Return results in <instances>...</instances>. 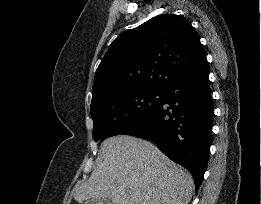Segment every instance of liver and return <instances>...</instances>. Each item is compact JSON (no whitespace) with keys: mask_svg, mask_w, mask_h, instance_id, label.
Returning a JSON list of instances; mask_svg holds the SVG:
<instances>
[{"mask_svg":"<svg viewBox=\"0 0 261 204\" xmlns=\"http://www.w3.org/2000/svg\"><path fill=\"white\" fill-rule=\"evenodd\" d=\"M191 174L152 143L126 135L103 141L90 178L75 186L74 199H110L111 204H188Z\"/></svg>","mask_w":261,"mask_h":204,"instance_id":"obj_1","label":"liver"}]
</instances>
